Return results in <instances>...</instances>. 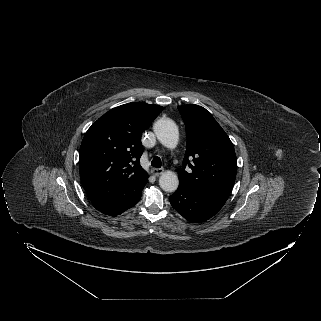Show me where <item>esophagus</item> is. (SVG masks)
<instances>
[{
	"label": "esophagus",
	"mask_w": 321,
	"mask_h": 321,
	"mask_svg": "<svg viewBox=\"0 0 321 321\" xmlns=\"http://www.w3.org/2000/svg\"><path fill=\"white\" fill-rule=\"evenodd\" d=\"M151 172H152L153 175L159 176L164 172V169L163 168H153L151 170Z\"/></svg>",
	"instance_id": "esophagus-1"
}]
</instances>
